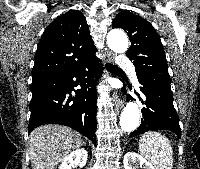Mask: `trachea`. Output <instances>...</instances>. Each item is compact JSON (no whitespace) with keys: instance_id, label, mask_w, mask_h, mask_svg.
<instances>
[{"instance_id":"trachea-1","label":"trachea","mask_w":200,"mask_h":169,"mask_svg":"<svg viewBox=\"0 0 200 169\" xmlns=\"http://www.w3.org/2000/svg\"><path fill=\"white\" fill-rule=\"evenodd\" d=\"M106 69L108 71H121L120 68H118L117 66L113 65V64H110V63H106Z\"/></svg>"}]
</instances>
